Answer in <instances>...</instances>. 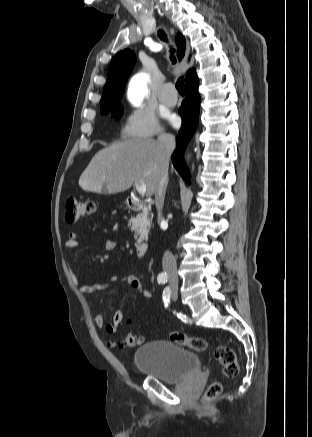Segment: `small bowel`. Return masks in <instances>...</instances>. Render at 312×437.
Instances as JSON below:
<instances>
[{"mask_svg": "<svg viewBox=\"0 0 312 437\" xmlns=\"http://www.w3.org/2000/svg\"><path fill=\"white\" fill-rule=\"evenodd\" d=\"M77 238H78V234L76 232H70L68 240L65 243V248L68 250L74 249L78 244ZM104 248L109 251H113L117 248V244L116 242L107 239L104 241ZM119 284L127 285L131 289L139 292L143 297L147 299H150L152 297L151 291L145 288L139 277L135 275H126L123 277L114 276L111 277L107 282L95 283L92 285H80L78 288L82 293L93 294L106 289L110 285H119ZM123 318H124V313L122 309H118L115 311L112 320L110 322H106L104 316L101 313L96 312L94 315V322L97 327L104 329L106 333L115 334L118 332L119 325L122 322ZM106 345L109 348L118 347V343L114 341H107Z\"/></svg>", "mask_w": 312, "mask_h": 437, "instance_id": "c3829d8e", "label": "small bowel"}]
</instances>
